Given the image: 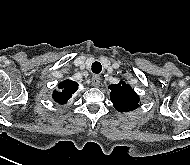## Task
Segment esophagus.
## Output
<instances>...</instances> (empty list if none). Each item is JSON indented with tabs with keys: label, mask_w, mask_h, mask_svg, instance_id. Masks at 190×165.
Returning <instances> with one entry per match:
<instances>
[{
	"label": "esophagus",
	"mask_w": 190,
	"mask_h": 165,
	"mask_svg": "<svg viewBox=\"0 0 190 165\" xmlns=\"http://www.w3.org/2000/svg\"><path fill=\"white\" fill-rule=\"evenodd\" d=\"M100 82H101V78H100L99 75H94L92 77V84H93V86L98 87L100 85Z\"/></svg>",
	"instance_id": "obj_1"
}]
</instances>
